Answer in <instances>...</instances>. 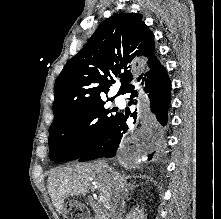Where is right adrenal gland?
I'll use <instances>...</instances> for the list:
<instances>
[{"mask_svg":"<svg viewBox=\"0 0 221 219\" xmlns=\"http://www.w3.org/2000/svg\"><path fill=\"white\" fill-rule=\"evenodd\" d=\"M139 185H135V183L131 184L130 187H129V191L126 192V199L127 201H130L131 200V197H129L131 195V193H133V190L135 188H137ZM125 207H126V204L124 205V213H125Z\"/></svg>","mask_w":221,"mask_h":219,"instance_id":"1","label":"right adrenal gland"}]
</instances>
